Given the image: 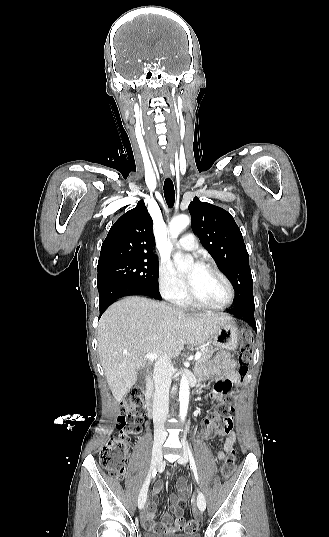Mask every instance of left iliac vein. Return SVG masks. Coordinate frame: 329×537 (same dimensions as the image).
<instances>
[{"label":"left iliac vein","mask_w":329,"mask_h":537,"mask_svg":"<svg viewBox=\"0 0 329 537\" xmlns=\"http://www.w3.org/2000/svg\"><path fill=\"white\" fill-rule=\"evenodd\" d=\"M181 464H186L188 462V455L185 451V448L183 449L182 456L178 460ZM197 506L200 511H204L206 508V498L202 492H199L197 497Z\"/></svg>","instance_id":"left-iliac-vein-1"}]
</instances>
